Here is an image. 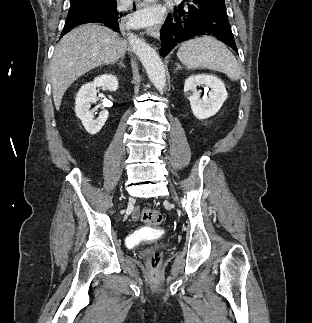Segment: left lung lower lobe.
I'll use <instances>...</instances> for the list:
<instances>
[{
    "mask_svg": "<svg viewBox=\"0 0 312 323\" xmlns=\"http://www.w3.org/2000/svg\"><path fill=\"white\" fill-rule=\"evenodd\" d=\"M160 33L162 56H166L178 43L203 35L216 37L238 53L224 0H183L167 17Z\"/></svg>",
    "mask_w": 312,
    "mask_h": 323,
    "instance_id": "1",
    "label": "left lung lower lobe"
}]
</instances>
